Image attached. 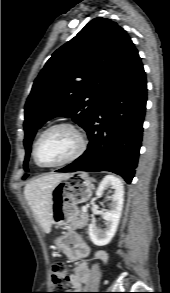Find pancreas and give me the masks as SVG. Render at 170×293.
<instances>
[{
	"mask_svg": "<svg viewBox=\"0 0 170 293\" xmlns=\"http://www.w3.org/2000/svg\"><path fill=\"white\" fill-rule=\"evenodd\" d=\"M88 222V214L79 212L78 216L74 218L71 223L68 225L69 229H81L87 225Z\"/></svg>",
	"mask_w": 170,
	"mask_h": 293,
	"instance_id": "obj_1",
	"label": "pancreas"
}]
</instances>
